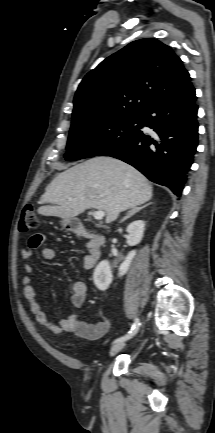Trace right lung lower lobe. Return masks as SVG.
<instances>
[{
  "mask_svg": "<svg viewBox=\"0 0 215 433\" xmlns=\"http://www.w3.org/2000/svg\"><path fill=\"white\" fill-rule=\"evenodd\" d=\"M195 89L191 82L155 102L142 115V131L130 142L104 156L120 159L151 181L169 187L180 197L198 145Z\"/></svg>",
  "mask_w": 215,
  "mask_h": 433,
  "instance_id": "right-lung-lower-lobe-1",
  "label": "right lung lower lobe"
}]
</instances>
